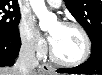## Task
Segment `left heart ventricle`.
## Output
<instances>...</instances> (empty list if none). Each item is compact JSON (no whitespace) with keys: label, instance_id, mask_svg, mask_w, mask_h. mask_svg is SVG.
Here are the masks:
<instances>
[{"label":"left heart ventricle","instance_id":"b2bd125f","mask_svg":"<svg viewBox=\"0 0 102 75\" xmlns=\"http://www.w3.org/2000/svg\"><path fill=\"white\" fill-rule=\"evenodd\" d=\"M49 32L51 44L59 58L74 61L83 54L84 40L78 29L55 23L50 27Z\"/></svg>","mask_w":102,"mask_h":75}]
</instances>
